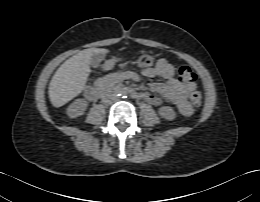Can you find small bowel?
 <instances>
[{"label": "small bowel", "mask_w": 260, "mask_h": 202, "mask_svg": "<svg viewBox=\"0 0 260 202\" xmlns=\"http://www.w3.org/2000/svg\"><path fill=\"white\" fill-rule=\"evenodd\" d=\"M120 59L112 58L107 60L103 65V70L112 69ZM142 74L146 77H161L163 82L152 83L150 90L138 92V97L147 102L160 106L164 101L173 104L178 109L179 113L185 117L191 116L193 108L187 101V95L196 88L195 82L182 83L175 77L174 66L166 59H159L156 65L152 68L142 70ZM125 79L137 81L139 76L134 72L111 73L105 77L99 78L96 81H109L116 83ZM158 94V95H157Z\"/></svg>", "instance_id": "c3829d8e"}]
</instances>
